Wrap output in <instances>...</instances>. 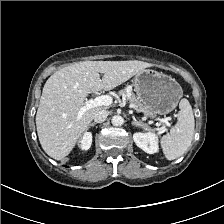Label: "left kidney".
Instances as JSON below:
<instances>
[{
    "label": "left kidney",
    "instance_id": "5707ae66",
    "mask_svg": "<svg viewBox=\"0 0 224 224\" xmlns=\"http://www.w3.org/2000/svg\"><path fill=\"white\" fill-rule=\"evenodd\" d=\"M135 144L148 154L158 152V136L153 132H136L133 134Z\"/></svg>",
    "mask_w": 224,
    "mask_h": 224
}]
</instances>
